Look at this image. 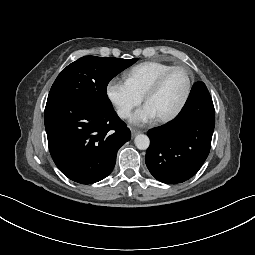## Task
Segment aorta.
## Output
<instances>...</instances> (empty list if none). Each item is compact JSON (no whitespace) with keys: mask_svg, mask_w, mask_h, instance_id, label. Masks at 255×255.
I'll use <instances>...</instances> for the list:
<instances>
[{"mask_svg":"<svg viewBox=\"0 0 255 255\" xmlns=\"http://www.w3.org/2000/svg\"><path fill=\"white\" fill-rule=\"evenodd\" d=\"M135 145L140 150H146L150 145V140L147 135L139 134L135 137Z\"/></svg>","mask_w":255,"mask_h":255,"instance_id":"1","label":"aorta"}]
</instances>
